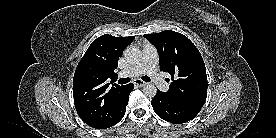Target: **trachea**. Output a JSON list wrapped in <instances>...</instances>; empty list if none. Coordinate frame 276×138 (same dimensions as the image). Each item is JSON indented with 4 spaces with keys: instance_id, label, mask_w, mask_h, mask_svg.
<instances>
[{
    "instance_id": "3493384b",
    "label": "trachea",
    "mask_w": 276,
    "mask_h": 138,
    "mask_svg": "<svg viewBox=\"0 0 276 138\" xmlns=\"http://www.w3.org/2000/svg\"><path fill=\"white\" fill-rule=\"evenodd\" d=\"M142 80L145 82H150L151 79L148 76H143ZM128 82H130V78H121L118 80L119 84H127Z\"/></svg>"
}]
</instances>
